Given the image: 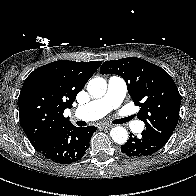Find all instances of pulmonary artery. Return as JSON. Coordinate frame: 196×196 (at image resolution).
<instances>
[{
  "mask_svg": "<svg viewBox=\"0 0 196 196\" xmlns=\"http://www.w3.org/2000/svg\"><path fill=\"white\" fill-rule=\"evenodd\" d=\"M126 93L127 86L125 81L119 76H111L108 79L105 95L83 106L77 107L74 110V116L85 121L102 118L110 111L122 105ZM138 127V122L132 126L134 129H137Z\"/></svg>",
  "mask_w": 196,
  "mask_h": 196,
  "instance_id": "1",
  "label": "pulmonary artery"
}]
</instances>
